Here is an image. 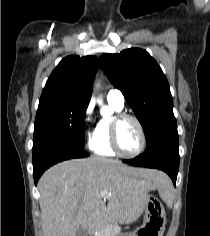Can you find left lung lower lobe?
<instances>
[{"mask_svg":"<svg viewBox=\"0 0 210 236\" xmlns=\"http://www.w3.org/2000/svg\"><path fill=\"white\" fill-rule=\"evenodd\" d=\"M179 138L177 129L158 135L147 145L143 154L132 160H124L134 166L160 169L176 184L179 170Z\"/></svg>","mask_w":210,"mask_h":236,"instance_id":"0a47b994","label":"left lung lower lobe"}]
</instances>
